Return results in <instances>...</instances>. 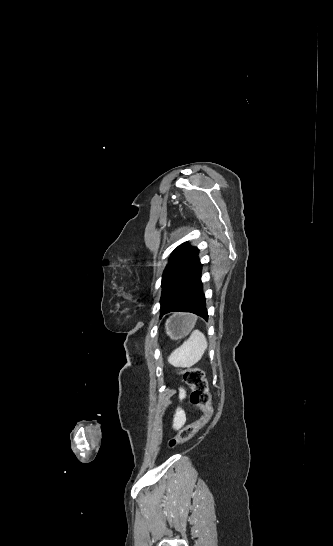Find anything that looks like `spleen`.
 <instances>
[{
  "mask_svg": "<svg viewBox=\"0 0 333 546\" xmlns=\"http://www.w3.org/2000/svg\"><path fill=\"white\" fill-rule=\"evenodd\" d=\"M196 321V316L190 315ZM208 348V342L202 332L195 330L187 341L175 349L168 362L174 367H190L199 362Z\"/></svg>",
  "mask_w": 333,
  "mask_h": 546,
  "instance_id": "obj_1",
  "label": "spleen"
}]
</instances>
